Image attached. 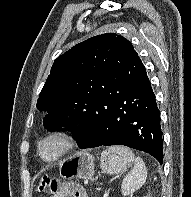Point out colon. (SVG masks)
I'll use <instances>...</instances> for the list:
<instances>
[{"instance_id": "5ec220e1", "label": "colon", "mask_w": 191, "mask_h": 197, "mask_svg": "<svg viewBox=\"0 0 191 197\" xmlns=\"http://www.w3.org/2000/svg\"><path fill=\"white\" fill-rule=\"evenodd\" d=\"M37 191L40 193L48 192L57 193L59 191L56 181L50 176H43L39 179Z\"/></svg>"}]
</instances>
